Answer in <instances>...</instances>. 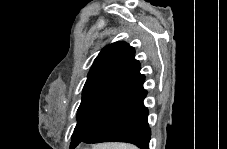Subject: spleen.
Returning a JSON list of instances; mask_svg holds the SVG:
<instances>
[{"instance_id": "1", "label": "spleen", "mask_w": 227, "mask_h": 149, "mask_svg": "<svg viewBox=\"0 0 227 149\" xmlns=\"http://www.w3.org/2000/svg\"><path fill=\"white\" fill-rule=\"evenodd\" d=\"M102 149H136V147L128 144H107L101 147Z\"/></svg>"}]
</instances>
